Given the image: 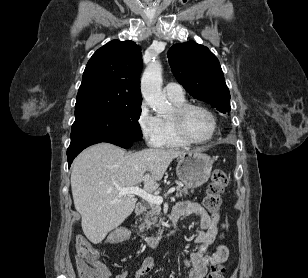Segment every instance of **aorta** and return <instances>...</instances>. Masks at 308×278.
Segmentation results:
<instances>
[{
    "label": "aorta",
    "mask_w": 308,
    "mask_h": 278,
    "mask_svg": "<svg viewBox=\"0 0 308 278\" xmlns=\"http://www.w3.org/2000/svg\"><path fill=\"white\" fill-rule=\"evenodd\" d=\"M162 66L159 61L148 64L141 79V92L145 101L158 114H166L171 105L162 92Z\"/></svg>",
    "instance_id": "aorta-1"
}]
</instances>
